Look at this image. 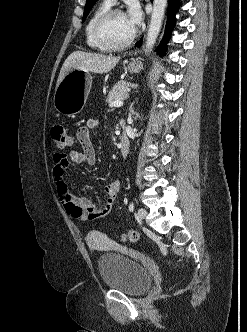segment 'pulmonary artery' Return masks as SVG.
I'll use <instances>...</instances> for the list:
<instances>
[{"label":"pulmonary artery","mask_w":247,"mask_h":332,"mask_svg":"<svg viewBox=\"0 0 247 332\" xmlns=\"http://www.w3.org/2000/svg\"><path fill=\"white\" fill-rule=\"evenodd\" d=\"M107 3H109L110 5H113L115 2H116V0H105Z\"/></svg>","instance_id":"1"}]
</instances>
